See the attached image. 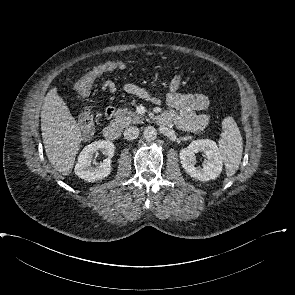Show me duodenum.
<instances>
[{"mask_svg": "<svg viewBox=\"0 0 295 295\" xmlns=\"http://www.w3.org/2000/svg\"><path fill=\"white\" fill-rule=\"evenodd\" d=\"M103 134L108 140H117L120 137V128L115 123L109 124L104 128Z\"/></svg>", "mask_w": 295, "mask_h": 295, "instance_id": "duodenum-1", "label": "duodenum"}]
</instances>
